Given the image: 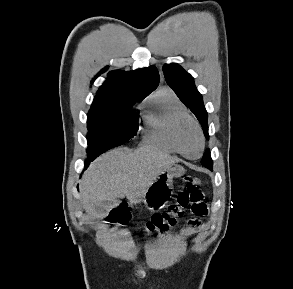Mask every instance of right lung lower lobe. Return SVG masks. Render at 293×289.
<instances>
[{
    "mask_svg": "<svg viewBox=\"0 0 293 289\" xmlns=\"http://www.w3.org/2000/svg\"><path fill=\"white\" fill-rule=\"evenodd\" d=\"M91 160L88 158V160H86V162H85V167H87L88 166V164H89V162H90Z\"/></svg>",
    "mask_w": 293,
    "mask_h": 289,
    "instance_id": "1",
    "label": "right lung lower lobe"
}]
</instances>
